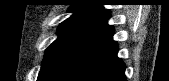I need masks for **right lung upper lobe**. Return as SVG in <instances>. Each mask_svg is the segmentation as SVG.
I'll use <instances>...</instances> for the list:
<instances>
[{"mask_svg": "<svg viewBox=\"0 0 169 81\" xmlns=\"http://www.w3.org/2000/svg\"><path fill=\"white\" fill-rule=\"evenodd\" d=\"M79 4H73L69 8V12H73V15L69 19H80L86 23L94 22L110 12L107 9L101 7V5H95L89 2L90 0H82Z\"/></svg>", "mask_w": 169, "mask_h": 81, "instance_id": "1", "label": "right lung upper lobe"}]
</instances>
